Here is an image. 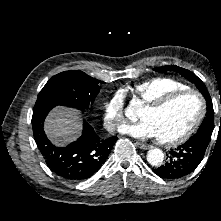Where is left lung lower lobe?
Returning a JSON list of instances; mask_svg holds the SVG:
<instances>
[{
	"label": "left lung lower lobe",
	"mask_w": 221,
	"mask_h": 221,
	"mask_svg": "<svg viewBox=\"0 0 221 221\" xmlns=\"http://www.w3.org/2000/svg\"><path fill=\"white\" fill-rule=\"evenodd\" d=\"M209 142V136L196 133L187 142L171 150L167 162L153 169V172L164 179H179L189 175L202 161Z\"/></svg>",
	"instance_id": "left-lung-lower-lobe-1"
}]
</instances>
